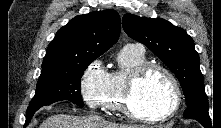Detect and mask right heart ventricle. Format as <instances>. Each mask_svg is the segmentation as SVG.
Instances as JSON below:
<instances>
[{
  "mask_svg": "<svg viewBox=\"0 0 221 128\" xmlns=\"http://www.w3.org/2000/svg\"><path fill=\"white\" fill-rule=\"evenodd\" d=\"M147 62L144 50L135 45L124 46L117 54L114 67L108 72L101 96V108L106 113H123V92L131 72Z\"/></svg>",
  "mask_w": 221,
  "mask_h": 128,
  "instance_id": "1",
  "label": "right heart ventricle"
}]
</instances>
